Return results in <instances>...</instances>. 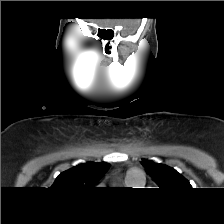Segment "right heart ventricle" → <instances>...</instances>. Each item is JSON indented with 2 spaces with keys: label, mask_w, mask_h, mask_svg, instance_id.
<instances>
[{
  "label": "right heart ventricle",
  "mask_w": 224,
  "mask_h": 224,
  "mask_svg": "<svg viewBox=\"0 0 224 224\" xmlns=\"http://www.w3.org/2000/svg\"><path fill=\"white\" fill-rule=\"evenodd\" d=\"M131 185H136V184H134V183H131Z\"/></svg>",
  "instance_id": "1"
}]
</instances>
